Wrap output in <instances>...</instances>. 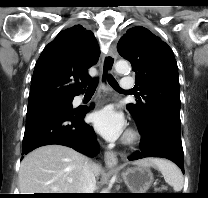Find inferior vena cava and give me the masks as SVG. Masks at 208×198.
I'll return each instance as SVG.
<instances>
[{
    "label": "inferior vena cava",
    "mask_w": 208,
    "mask_h": 198,
    "mask_svg": "<svg viewBox=\"0 0 208 198\" xmlns=\"http://www.w3.org/2000/svg\"><path fill=\"white\" fill-rule=\"evenodd\" d=\"M96 190V179L93 171V163L87 160L83 166L77 193H94Z\"/></svg>",
    "instance_id": "1"
}]
</instances>
